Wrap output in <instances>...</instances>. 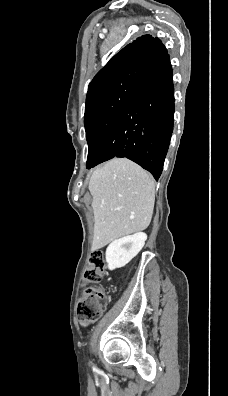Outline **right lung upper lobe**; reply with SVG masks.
Segmentation results:
<instances>
[{"label":"right lung upper lobe","instance_id":"right-lung-upper-lobe-1","mask_svg":"<svg viewBox=\"0 0 228 396\" xmlns=\"http://www.w3.org/2000/svg\"><path fill=\"white\" fill-rule=\"evenodd\" d=\"M162 45L158 38L143 35L120 50L110 61L95 75L88 87V93L101 83L125 75L136 70H144L143 62L153 55ZM87 93V94H88Z\"/></svg>","mask_w":228,"mask_h":396}]
</instances>
